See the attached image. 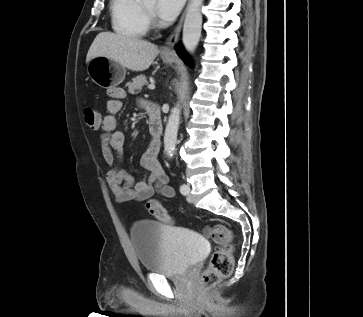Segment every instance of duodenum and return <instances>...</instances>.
Segmentation results:
<instances>
[{"mask_svg": "<svg viewBox=\"0 0 363 317\" xmlns=\"http://www.w3.org/2000/svg\"><path fill=\"white\" fill-rule=\"evenodd\" d=\"M148 124L151 136V144L160 148L163 135V122L159 107L156 104L149 105Z\"/></svg>", "mask_w": 363, "mask_h": 317, "instance_id": "duodenum-1", "label": "duodenum"}]
</instances>
